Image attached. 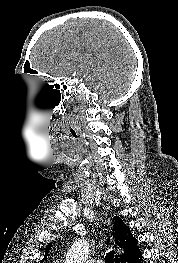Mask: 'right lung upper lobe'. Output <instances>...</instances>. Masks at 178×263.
<instances>
[{"mask_svg":"<svg viewBox=\"0 0 178 263\" xmlns=\"http://www.w3.org/2000/svg\"><path fill=\"white\" fill-rule=\"evenodd\" d=\"M112 231L115 243L123 249V253L115 255V262L126 263L128 259L139 251L137 240L132 236L129 227L123 223L119 216L114 217ZM50 248L51 243L46 246L45 257L40 263H43V261L46 260Z\"/></svg>","mask_w":178,"mask_h":263,"instance_id":"1","label":"right lung upper lobe"}]
</instances>
